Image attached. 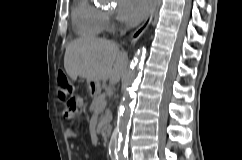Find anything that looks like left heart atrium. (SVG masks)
Wrapping results in <instances>:
<instances>
[{"instance_id":"obj_1","label":"left heart atrium","mask_w":242,"mask_h":160,"mask_svg":"<svg viewBox=\"0 0 242 160\" xmlns=\"http://www.w3.org/2000/svg\"><path fill=\"white\" fill-rule=\"evenodd\" d=\"M152 0H118L117 18L126 24L140 22L150 11Z\"/></svg>"}]
</instances>
